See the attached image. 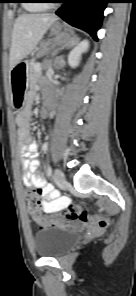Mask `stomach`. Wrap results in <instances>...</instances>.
Instances as JSON below:
<instances>
[{
  "label": "stomach",
  "mask_w": 136,
  "mask_h": 296,
  "mask_svg": "<svg viewBox=\"0 0 136 296\" xmlns=\"http://www.w3.org/2000/svg\"><path fill=\"white\" fill-rule=\"evenodd\" d=\"M59 30V25L53 27L55 33ZM27 71H29L28 62L26 60L20 61L12 69V84H28ZM11 90H13V108L15 111H20L24 105L25 90H29V85H11Z\"/></svg>",
  "instance_id": "obj_1"
}]
</instances>
